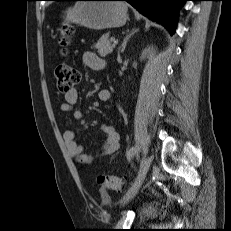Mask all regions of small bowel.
<instances>
[{
  "mask_svg": "<svg viewBox=\"0 0 231 231\" xmlns=\"http://www.w3.org/2000/svg\"><path fill=\"white\" fill-rule=\"evenodd\" d=\"M83 63L93 70H102L105 68V61L93 52H85L83 54ZM78 91L73 88L69 92L64 93V102L59 106L62 113L72 112L75 120L80 121L84 117V113L80 109H73L78 101ZM98 98L101 102H107L110 99V92L108 90H101L98 93ZM101 130L105 135L103 143L102 155H112L120 149V133L114 125L103 124ZM63 140L68 153L77 162L83 164H90L94 162V157L89 156L83 152V148L76 142L75 132L72 129H67L63 132Z\"/></svg>",
  "mask_w": 231,
  "mask_h": 231,
  "instance_id": "1",
  "label": "small bowel"
}]
</instances>
